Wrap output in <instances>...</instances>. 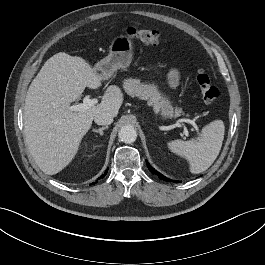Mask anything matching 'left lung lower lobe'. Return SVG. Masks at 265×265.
Segmentation results:
<instances>
[{
	"instance_id": "1",
	"label": "left lung lower lobe",
	"mask_w": 265,
	"mask_h": 265,
	"mask_svg": "<svg viewBox=\"0 0 265 265\" xmlns=\"http://www.w3.org/2000/svg\"><path fill=\"white\" fill-rule=\"evenodd\" d=\"M147 163V167L149 168V170L152 172V174H156L160 179L164 180V181H169L171 182L172 180L166 178L165 176L161 175L159 172H157L156 170H154V168H152L148 162ZM176 183H178V181H174Z\"/></svg>"
}]
</instances>
